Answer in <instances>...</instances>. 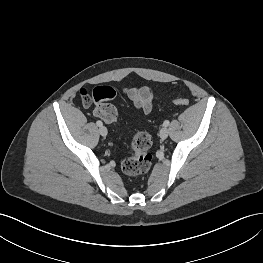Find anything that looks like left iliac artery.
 I'll list each match as a JSON object with an SVG mask.
<instances>
[{"mask_svg": "<svg viewBox=\"0 0 263 263\" xmlns=\"http://www.w3.org/2000/svg\"><path fill=\"white\" fill-rule=\"evenodd\" d=\"M164 126H168L169 125V121L168 120H165L164 123H163Z\"/></svg>", "mask_w": 263, "mask_h": 263, "instance_id": "left-iliac-artery-1", "label": "left iliac artery"}]
</instances>
